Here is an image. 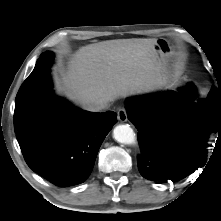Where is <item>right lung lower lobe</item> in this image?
<instances>
[{
  "mask_svg": "<svg viewBox=\"0 0 221 221\" xmlns=\"http://www.w3.org/2000/svg\"><path fill=\"white\" fill-rule=\"evenodd\" d=\"M32 90L39 92L35 108L23 123L14 124L26 163L60 187L84 182L105 136L117 122L116 113L82 111L56 97L49 70H33L16 100L25 98Z\"/></svg>",
  "mask_w": 221,
  "mask_h": 221,
  "instance_id": "98d812e1",
  "label": "right lung lower lobe"
}]
</instances>
